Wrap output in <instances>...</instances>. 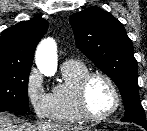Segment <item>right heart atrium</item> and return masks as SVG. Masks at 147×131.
Segmentation results:
<instances>
[{
    "mask_svg": "<svg viewBox=\"0 0 147 131\" xmlns=\"http://www.w3.org/2000/svg\"><path fill=\"white\" fill-rule=\"evenodd\" d=\"M25 92L29 105L40 120L52 119L53 103L51 93L44 86L41 74L32 69L26 78Z\"/></svg>",
    "mask_w": 147,
    "mask_h": 131,
    "instance_id": "right-heart-atrium-1",
    "label": "right heart atrium"
}]
</instances>
